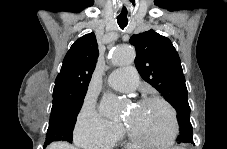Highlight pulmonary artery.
I'll return each instance as SVG.
<instances>
[{
  "label": "pulmonary artery",
  "mask_w": 227,
  "mask_h": 149,
  "mask_svg": "<svg viewBox=\"0 0 227 149\" xmlns=\"http://www.w3.org/2000/svg\"><path fill=\"white\" fill-rule=\"evenodd\" d=\"M107 82L114 90L128 93L137 88L139 77L133 66H125L112 71Z\"/></svg>",
  "instance_id": "1"
}]
</instances>
